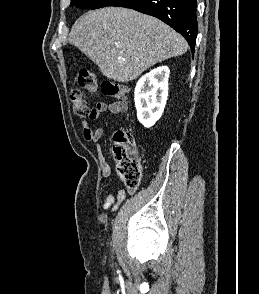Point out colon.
Returning <instances> with one entry per match:
<instances>
[{"instance_id": "obj_1", "label": "colon", "mask_w": 259, "mask_h": 294, "mask_svg": "<svg viewBox=\"0 0 259 294\" xmlns=\"http://www.w3.org/2000/svg\"><path fill=\"white\" fill-rule=\"evenodd\" d=\"M78 84L81 89H74L70 93V101L74 113L80 117H90L92 109L83 94V91L95 93L98 87V76L94 71L83 69L78 75ZM104 95L124 99L128 89L112 80H104L101 84ZM114 157L116 172L128 190L138 188L142 178V165L138 158L134 139L128 131H118L114 137Z\"/></svg>"}]
</instances>
